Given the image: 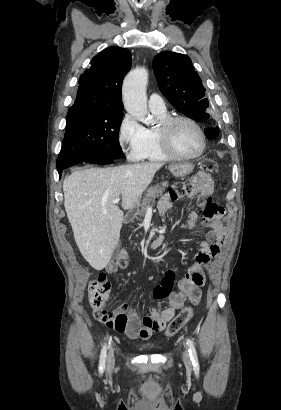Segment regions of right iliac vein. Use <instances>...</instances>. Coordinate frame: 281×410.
<instances>
[{
	"label": "right iliac vein",
	"mask_w": 281,
	"mask_h": 410,
	"mask_svg": "<svg viewBox=\"0 0 281 410\" xmlns=\"http://www.w3.org/2000/svg\"><path fill=\"white\" fill-rule=\"evenodd\" d=\"M114 365H115V358H114V353L111 350L108 353V357H107V372L110 373L113 370Z\"/></svg>",
	"instance_id": "obj_1"
}]
</instances>
